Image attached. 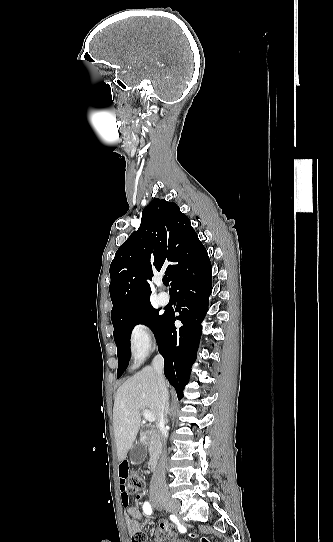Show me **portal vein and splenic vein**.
Segmentation results:
<instances>
[{
	"label": "portal vein and splenic vein",
	"instance_id": "18ae733b",
	"mask_svg": "<svg viewBox=\"0 0 333 542\" xmlns=\"http://www.w3.org/2000/svg\"><path fill=\"white\" fill-rule=\"evenodd\" d=\"M143 416L147 422H155L156 416L150 410H143Z\"/></svg>",
	"mask_w": 333,
	"mask_h": 542
}]
</instances>
